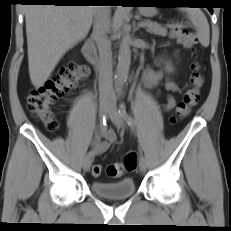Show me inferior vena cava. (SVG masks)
<instances>
[{"label": "inferior vena cava", "mask_w": 231, "mask_h": 231, "mask_svg": "<svg viewBox=\"0 0 231 231\" xmlns=\"http://www.w3.org/2000/svg\"><path fill=\"white\" fill-rule=\"evenodd\" d=\"M109 6H96L94 10L93 36L99 51V91L111 93L112 81V51L111 42L107 37L110 30Z\"/></svg>", "instance_id": "inferior-vena-cava-1"}]
</instances>
